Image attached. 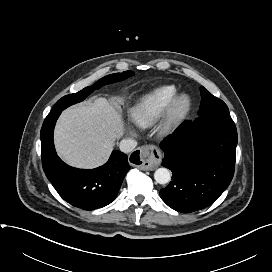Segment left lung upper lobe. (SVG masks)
Here are the masks:
<instances>
[{
	"mask_svg": "<svg viewBox=\"0 0 272 272\" xmlns=\"http://www.w3.org/2000/svg\"><path fill=\"white\" fill-rule=\"evenodd\" d=\"M202 101L198 116H203L212 112L229 111L227 105L219 98L213 96L204 87L200 88Z\"/></svg>",
	"mask_w": 272,
	"mask_h": 272,
	"instance_id": "5c2ea615",
	"label": "left lung upper lobe"
}]
</instances>
